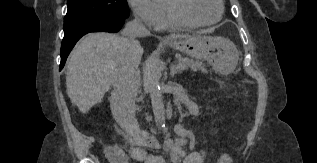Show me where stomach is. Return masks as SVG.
<instances>
[{
    "instance_id": "stomach-1",
    "label": "stomach",
    "mask_w": 317,
    "mask_h": 163,
    "mask_svg": "<svg viewBox=\"0 0 317 163\" xmlns=\"http://www.w3.org/2000/svg\"><path fill=\"white\" fill-rule=\"evenodd\" d=\"M166 44L190 57L208 61L222 73L232 72L239 59L236 46L222 37L196 36Z\"/></svg>"
}]
</instances>
